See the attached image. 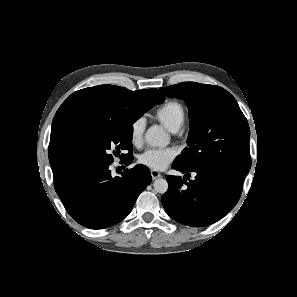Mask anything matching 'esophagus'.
<instances>
[{
    "instance_id": "esophagus-1",
    "label": "esophagus",
    "mask_w": 297,
    "mask_h": 297,
    "mask_svg": "<svg viewBox=\"0 0 297 297\" xmlns=\"http://www.w3.org/2000/svg\"><path fill=\"white\" fill-rule=\"evenodd\" d=\"M151 176H152V179L155 180V179L160 178L161 174L156 170H151Z\"/></svg>"
}]
</instances>
